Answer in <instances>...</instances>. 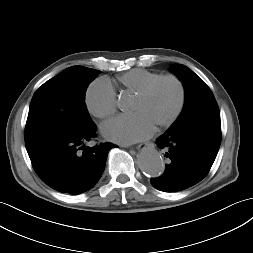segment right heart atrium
Here are the masks:
<instances>
[{
  "label": "right heart atrium",
  "mask_w": 253,
  "mask_h": 253,
  "mask_svg": "<svg viewBox=\"0 0 253 253\" xmlns=\"http://www.w3.org/2000/svg\"><path fill=\"white\" fill-rule=\"evenodd\" d=\"M85 104L91 115L99 119L116 112V93L112 85L103 78L96 79L87 88Z\"/></svg>",
  "instance_id": "right-heart-atrium-1"
}]
</instances>
